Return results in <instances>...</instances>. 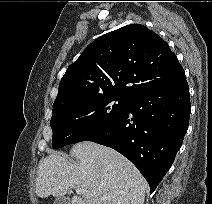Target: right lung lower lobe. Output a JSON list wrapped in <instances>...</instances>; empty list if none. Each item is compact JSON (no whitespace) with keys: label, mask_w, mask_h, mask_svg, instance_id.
Wrapping results in <instances>:
<instances>
[{"label":"right lung lower lobe","mask_w":212,"mask_h":204,"mask_svg":"<svg viewBox=\"0 0 212 204\" xmlns=\"http://www.w3.org/2000/svg\"><path fill=\"white\" fill-rule=\"evenodd\" d=\"M189 116V87L183 74L164 86L131 95L123 114L86 141L111 147L128 158L152 193L182 145Z\"/></svg>","instance_id":"right-lung-lower-lobe-1"}]
</instances>
